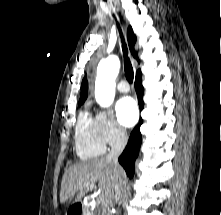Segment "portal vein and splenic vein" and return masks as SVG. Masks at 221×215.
<instances>
[{"label": "portal vein and splenic vein", "instance_id": "portal-vein-and-splenic-vein-1", "mask_svg": "<svg viewBox=\"0 0 221 215\" xmlns=\"http://www.w3.org/2000/svg\"><path fill=\"white\" fill-rule=\"evenodd\" d=\"M93 187H94L93 185H90V186H89L90 189H92ZM99 198L101 199V197H99Z\"/></svg>", "mask_w": 221, "mask_h": 215}]
</instances>
